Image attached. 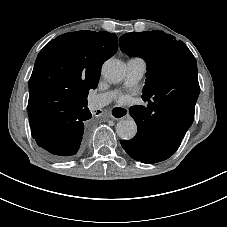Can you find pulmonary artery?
Segmentation results:
<instances>
[{
	"label": "pulmonary artery",
	"instance_id": "1",
	"mask_svg": "<svg viewBox=\"0 0 227 227\" xmlns=\"http://www.w3.org/2000/svg\"><path fill=\"white\" fill-rule=\"evenodd\" d=\"M146 64L142 59L131 58L126 62L125 86H132L137 83L144 75ZM118 91L112 90L99 93L90 98V109H101L110 104L117 96Z\"/></svg>",
	"mask_w": 227,
	"mask_h": 227
}]
</instances>
